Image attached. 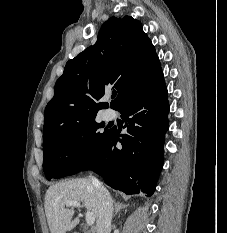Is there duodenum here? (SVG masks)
<instances>
[{
	"mask_svg": "<svg viewBox=\"0 0 227 233\" xmlns=\"http://www.w3.org/2000/svg\"><path fill=\"white\" fill-rule=\"evenodd\" d=\"M75 233H77V232H75ZM84 233H91V232H84Z\"/></svg>",
	"mask_w": 227,
	"mask_h": 233,
	"instance_id": "410a0bca",
	"label": "duodenum"
}]
</instances>
